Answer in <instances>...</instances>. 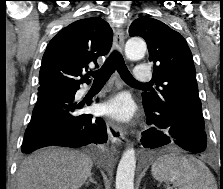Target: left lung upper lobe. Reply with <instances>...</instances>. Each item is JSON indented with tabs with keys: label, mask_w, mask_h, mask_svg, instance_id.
<instances>
[{
	"label": "left lung upper lobe",
	"mask_w": 223,
	"mask_h": 189,
	"mask_svg": "<svg viewBox=\"0 0 223 189\" xmlns=\"http://www.w3.org/2000/svg\"><path fill=\"white\" fill-rule=\"evenodd\" d=\"M130 36L145 39L157 91L142 93V104L164 115L170 124L204 130L192 53L184 37L163 22L141 17L129 28Z\"/></svg>",
	"instance_id": "left-lung-upper-lobe-1"
}]
</instances>
